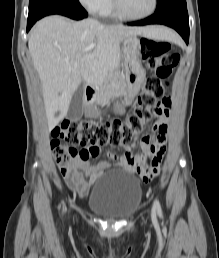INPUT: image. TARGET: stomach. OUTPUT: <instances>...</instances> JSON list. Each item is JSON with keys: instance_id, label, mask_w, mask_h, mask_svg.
I'll use <instances>...</instances> for the list:
<instances>
[{"instance_id": "stomach-1", "label": "stomach", "mask_w": 219, "mask_h": 258, "mask_svg": "<svg viewBox=\"0 0 219 258\" xmlns=\"http://www.w3.org/2000/svg\"><path fill=\"white\" fill-rule=\"evenodd\" d=\"M122 51L125 60V91L129 97H134L139 92L146 75L140 60V39H138L136 35L124 38ZM116 108L120 114H123L125 111L124 107L119 103H116ZM87 115L90 117H97L99 115L95 102H91L88 105Z\"/></svg>"}]
</instances>
